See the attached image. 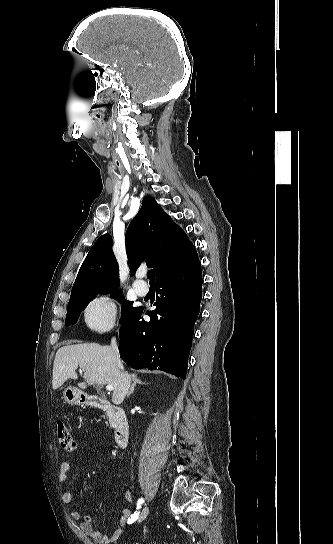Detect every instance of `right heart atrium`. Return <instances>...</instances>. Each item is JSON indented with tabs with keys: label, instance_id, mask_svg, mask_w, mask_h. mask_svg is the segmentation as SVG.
Returning a JSON list of instances; mask_svg holds the SVG:
<instances>
[{
	"label": "right heart atrium",
	"instance_id": "d8ad5b80",
	"mask_svg": "<svg viewBox=\"0 0 333 544\" xmlns=\"http://www.w3.org/2000/svg\"><path fill=\"white\" fill-rule=\"evenodd\" d=\"M117 303L107 297L94 300L85 311L87 325L97 332L112 330L117 321Z\"/></svg>",
	"mask_w": 333,
	"mask_h": 544
}]
</instances>
